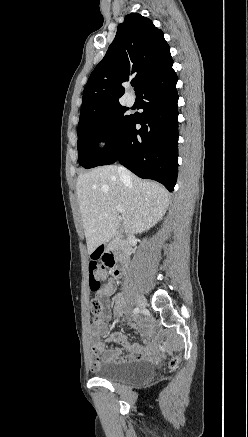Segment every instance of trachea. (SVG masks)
<instances>
[{"instance_id": "obj_1", "label": "trachea", "mask_w": 248, "mask_h": 437, "mask_svg": "<svg viewBox=\"0 0 248 437\" xmlns=\"http://www.w3.org/2000/svg\"><path fill=\"white\" fill-rule=\"evenodd\" d=\"M131 85L134 86V85H135V82H132Z\"/></svg>"}]
</instances>
